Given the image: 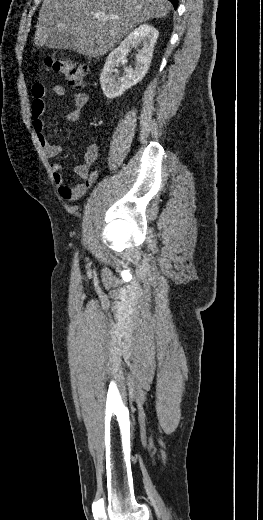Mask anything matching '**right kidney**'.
I'll list each match as a JSON object with an SVG mask.
<instances>
[{
    "label": "right kidney",
    "mask_w": 263,
    "mask_h": 520,
    "mask_svg": "<svg viewBox=\"0 0 263 520\" xmlns=\"http://www.w3.org/2000/svg\"><path fill=\"white\" fill-rule=\"evenodd\" d=\"M155 27L143 24L131 32L121 44L114 49L105 62L100 75L101 88L108 99L121 96L126 90L139 83L147 73L154 45L158 38ZM141 46L135 58V67H127L122 75L118 77L117 67L119 63L130 52L131 47Z\"/></svg>",
    "instance_id": "obj_1"
}]
</instances>
